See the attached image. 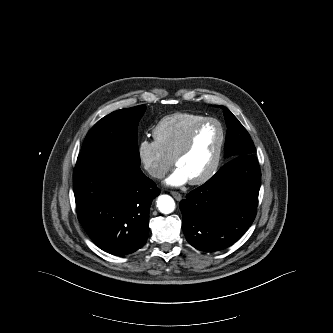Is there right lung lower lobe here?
Here are the masks:
<instances>
[{
    "label": "right lung lower lobe",
    "mask_w": 333,
    "mask_h": 333,
    "mask_svg": "<svg viewBox=\"0 0 333 333\" xmlns=\"http://www.w3.org/2000/svg\"><path fill=\"white\" fill-rule=\"evenodd\" d=\"M74 194L78 219L100 249L126 255L145 244L149 208L160 190L139 164L115 152L80 154Z\"/></svg>",
    "instance_id": "1"
}]
</instances>
